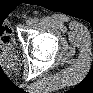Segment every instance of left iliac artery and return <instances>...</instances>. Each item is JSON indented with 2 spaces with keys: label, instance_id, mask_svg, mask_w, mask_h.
Returning <instances> with one entry per match:
<instances>
[{
  "label": "left iliac artery",
  "instance_id": "left-iliac-artery-1",
  "mask_svg": "<svg viewBox=\"0 0 93 93\" xmlns=\"http://www.w3.org/2000/svg\"><path fill=\"white\" fill-rule=\"evenodd\" d=\"M38 21H39L38 18H34V19H33V22H34V23H37Z\"/></svg>",
  "mask_w": 93,
  "mask_h": 93
}]
</instances>
